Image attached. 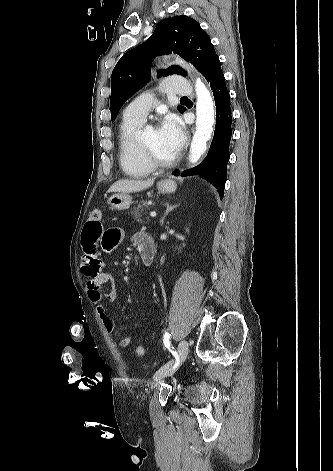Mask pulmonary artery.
I'll return each instance as SVG.
<instances>
[{"mask_svg": "<svg viewBox=\"0 0 333 471\" xmlns=\"http://www.w3.org/2000/svg\"><path fill=\"white\" fill-rule=\"evenodd\" d=\"M163 90L172 95H190L192 86L182 76H171L163 83ZM153 104L150 94H142L135 98L124 110V117L145 120Z\"/></svg>", "mask_w": 333, "mask_h": 471, "instance_id": "1", "label": "pulmonary artery"}]
</instances>
